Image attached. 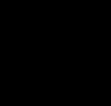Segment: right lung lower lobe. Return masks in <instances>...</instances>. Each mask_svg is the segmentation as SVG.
Segmentation results:
<instances>
[{
    "instance_id": "obj_1",
    "label": "right lung lower lobe",
    "mask_w": 111,
    "mask_h": 106,
    "mask_svg": "<svg viewBox=\"0 0 111 106\" xmlns=\"http://www.w3.org/2000/svg\"><path fill=\"white\" fill-rule=\"evenodd\" d=\"M49 0L0 1V75L21 73L54 22Z\"/></svg>"
}]
</instances>
